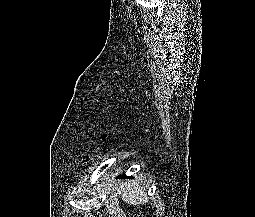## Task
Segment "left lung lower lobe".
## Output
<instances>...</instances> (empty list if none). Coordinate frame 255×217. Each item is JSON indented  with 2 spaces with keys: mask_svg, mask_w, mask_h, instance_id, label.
Returning <instances> with one entry per match:
<instances>
[{
  "mask_svg": "<svg viewBox=\"0 0 255 217\" xmlns=\"http://www.w3.org/2000/svg\"><path fill=\"white\" fill-rule=\"evenodd\" d=\"M120 177L126 178L127 176L125 174H123L122 176H119L118 178H120Z\"/></svg>",
  "mask_w": 255,
  "mask_h": 217,
  "instance_id": "left-lung-lower-lobe-1",
  "label": "left lung lower lobe"
}]
</instances>
